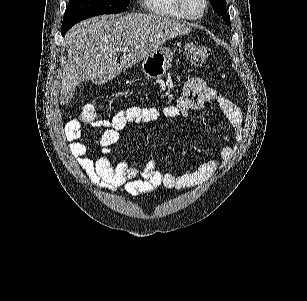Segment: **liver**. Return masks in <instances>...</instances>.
Listing matches in <instances>:
<instances>
[{"instance_id": "obj_1", "label": "liver", "mask_w": 307, "mask_h": 301, "mask_svg": "<svg viewBox=\"0 0 307 301\" xmlns=\"http://www.w3.org/2000/svg\"><path fill=\"white\" fill-rule=\"evenodd\" d=\"M101 18V20H99ZM191 32V22L169 16L129 12L119 18L95 16L72 26L64 36L67 64L64 68L60 104L70 102L82 80L105 84L178 34ZM128 46L120 62L117 48Z\"/></svg>"}]
</instances>
